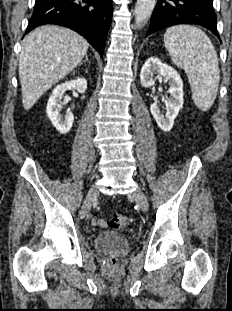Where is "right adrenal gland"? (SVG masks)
Returning <instances> with one entry per match:
<instances>
[{
	"instance_id": "1",
	"label": "right adrenal gland",
	"mask_w": 232,
	"mask_h": 311,
	"mask_svg": "<svg viewBox=\"0 0 232 311\" xmlns=\"http://www.w3.org/2000/svg\"><path fill=\"white\" fill-rule=\"evenodd\" d=\"M85 62H88V64L90 65L91 64V62L89 61V59H88V56L86 55V57H85V60L84 61H82L80 64H79V66H81L83 63H85Z\"/></svg>"
}]
</instances>
